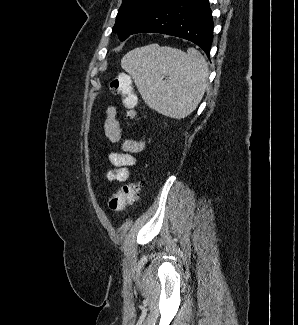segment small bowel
I'll list each match as a JSON object with an SVG mask.
<instances>
[{
  "instance_id": "c3829d8e",
  "label": "small bowel",
  "mask_w": 298,
  "mask_h": 325,
  "mask_svg": "<svg viewBox=\"0 0 298 325\" xmlns=\"http://www.w3.org/2000/svg\"><path fill=\"white\" fill-rule=\"evenodd\" d=\"M104 130L106 137L114 143H120L123 148L121 153H111L109 159L113 165V169L107 172V179L109 181L125 182L129 179V168L136 163L133 154L143 150L145 141L125 139L122 136V130L117 120V110L114 106L107 109V116L104 123Z\"/></svg>"
}]
</instances>
